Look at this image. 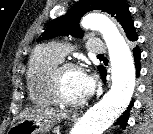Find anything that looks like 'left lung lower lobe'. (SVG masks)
<instances>
[{
	"mask_svg": "<svg viewBox=\"0 0 153 134\" xmlns=\"http://www.w3.org/2000/svg\"><path fill=\"white\" fill-rule=\"evenodd\" d=\"M132 51H133V56H134V60H135L136 73H137V77H138L140 74V69H141V65H140L141 50L138 47V45H136V47H134ZM99 71H100V74H101L103 80L105 81L106 80L105 68L102 67ZM132 104H133V102L128 107V110H126L125 113L117 120L116 125H120L122 128H125L127 120H128V114L130 112Z\"/></svg>",
	"mask_w": 153,
	"mask_h": 134,
	"instance_id": "1",
	"label": "left lung lower lobe"
}]
</instances>
